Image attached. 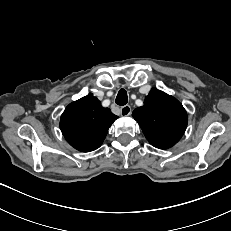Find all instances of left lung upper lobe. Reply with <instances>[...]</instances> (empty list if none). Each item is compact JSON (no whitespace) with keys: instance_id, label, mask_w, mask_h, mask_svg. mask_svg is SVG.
<instances>
[{"instance_id":"1","label":"left lung upper lobe","mask_w":231,"mask_h":231,"mask_svg":"<svg viewBox=\"0 0 231 231\" xmlns=\"http://www.w3.org/2000/svg\"><path fill=\"white\" fill-rule=\"evenodd\" d=\"M132 116L150 144L159 149L175 145L184 134L188 121L182 104L156 88H152L145 98V105L136 108Z\"/></svg>"}]
</instances>
